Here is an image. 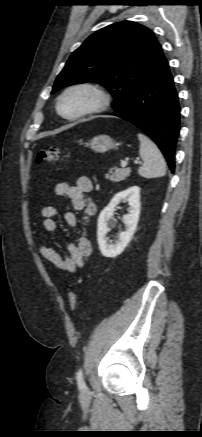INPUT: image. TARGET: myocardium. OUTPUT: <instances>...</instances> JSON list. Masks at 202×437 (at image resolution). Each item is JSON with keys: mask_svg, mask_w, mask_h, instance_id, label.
<instances>
[{"mask_svg": "<svg viewBox=\"0 0 202 437\" xmlns=\"http://www.w3.org/2000/svg\"><path fill=\"white\" fill-rule=\"evenodd\" d=\"M77 90H84L90 93L94 101L91 105L83 109L82 111L74 114V115H65L61 111V103L62 100L71 92ZM110 103V97L105 90H103L100 86L91 83V82H79L67 87L57 98L56 102V111L57 113L64 119L69 121H76L88 116H92L98 114L105 110Z\"/></svg>", "mask_w": 202, "mask_h": 437, "instance_id": "myocardium-1", "label": "myocardium"}]
</instances>
